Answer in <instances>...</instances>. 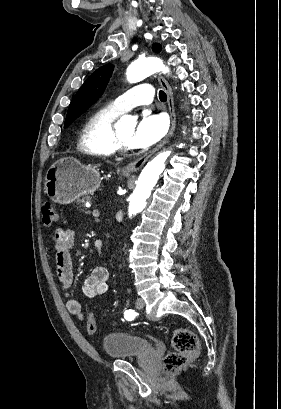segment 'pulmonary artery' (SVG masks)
<instances>
[{
	"label": "pulmonary artery",
	"mask_w": 281,
	"mask_h": 409,
	"mask_svg": "<svg viewBox=\"0 0 281 409\" xmlns=\"http://www.w3.org/2000/svg\"><path fill=\"white\" fill-rule=\"evenodd\" d=\"M147 88L146 81H139L137 86H132L131 90H124L123 97H117L112 103V110L123 113L129 109L133 110L135 106H149L154 93L152 90H146Z\"/></svg>",
	"instance_id": "e3ab8cb5"
}]
</instances>
